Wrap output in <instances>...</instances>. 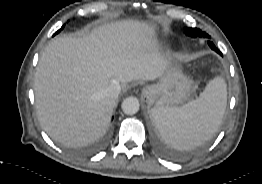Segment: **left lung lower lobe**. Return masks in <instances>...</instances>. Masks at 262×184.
<instances>
[{
  "mask_svg": "<svg viewBox=\"0 0 262 184\" xmlns=\"http://www.w3.org/2000/svg\"><path fill=\"white\" fill-rule=\"evenodd\" d=\"M208 44L211 47V49L215 50L216 52H218L222 56V53L214 46L213 42L208 41Z\"/></svg>",
  "mask_w": 262,
  "mask_h": 184,
  "instance_id": "1",
  "label": "left lung lower lobe"
}]
</instances>
